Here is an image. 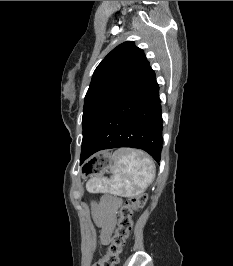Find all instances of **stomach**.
Segmentation results:
<instances>
[{"mask_svg":"<svg viewBox=\"0 0 233 266\" xmlns=\"http://www.w3.org/2000/svg\"><path fill=\"white\" fill-rule=\"evenodd\" d=\"M105 152H93L91 161H86V166H114L116 156H110V147L104 148ZM100 172H105V167H81V176L84 180H95V176H100Z\"/></svg>","mask_w":233,"mask_h":266,"instance_id":"1","label":"stomach"}]
</instances>
